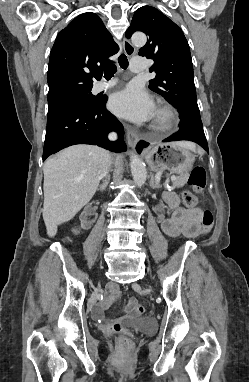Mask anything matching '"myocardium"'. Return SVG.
Here are the masks:
<instances>
[{
    "instance_id": "1",
    "label": "myocardium",
    "mask_w": 249,
    "mask_h": 382,
    "mask_svg": "<svg viewBox=\"0 0 249 382\" xmlns=\"http://www.w3.org/2000/svg\"><path fill=\"white\" fill-rule=\"evenodd\" d=\"M156 113L160 115V120H153L150 130L154 134H166L177 124V115L173 108L167 104H161L157 107Z\"/></svg>"
}]
</instances>
